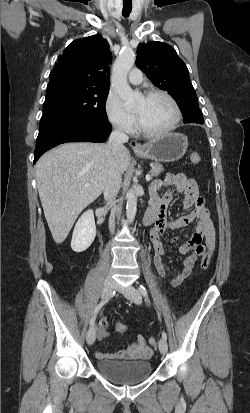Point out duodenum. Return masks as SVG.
I'll return each mask as SVG.
<instances>
[{
  "label": "duodenum",
  "mask_w": 250,
  "mask_h": 413,
  "mask_svg": "<svg viewBox=\"0 0 250 413\" xmlns=\"http://www.w3.org/2000/svg\"><path fill=\"white\" fill-rule=\"evenodd\" d=\"M157 218V211L154 208H149L143 217V223L145 225H150L152 224Z\"/></svg>",
  "instance_id": "1"
}]
</instances>
